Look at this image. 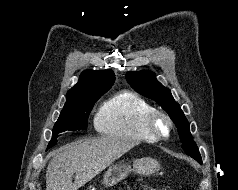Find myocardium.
I'll list each match as a JSON object with an SVG mask.
<instances>
[{
    "mask_svg": "<svg viewBox=\"0 0 238 190\" xmlns=\"http://www.w3.org/2000/svg\"><path fill=\"white\" fill-rule=\"evenodd\" d=\"M145 125L155 138L164 139L169 136L173 123L165 112L153 109L147 114Z\"/></svg>",
    "mask_w": 238,
    "mask_h": 190,
    "instance_id": "obj_1",
    "label": "myocardium"
}]
</instances>
